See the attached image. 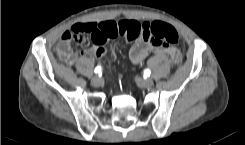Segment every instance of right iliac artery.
Masks as SVG:
<instances>
[{
  "mask_svg": "<svg viewBox=\"0 0 245 145\" xmlns=\"http://www.w3.org/2000/svg\"><path fill=\"white\" fill-rule=\"evenodd\" d=\"M101 71H102L101 66H97L94 70L95 73H101Z\"/></svg>",
  "mask_w": 245,
  "mask_h": 145,
  "instance_id": "1",
  "label": "right iliac artery"
}]
</instances>
